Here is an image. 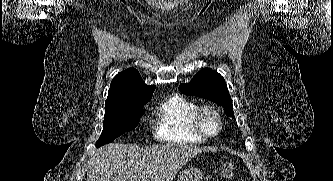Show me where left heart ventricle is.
I'll return each mask as SVG.
<instances>
[{
    "label": "left heart ventricle",
    "mask_w": 333,
    "mask_h": 181,
    "mask_svg": "<svg viewBox=\"0 0 333 181\" xmlns=\"http://www.w3.org/2000/svg\"><path fill=\"white\" fill-rule=\"evenodd\" d=\"M202 126L206 132L214 133L217 129L216 119L212 115L207 114L202 119Z\"/></svg>",
    "instance_id": "1"
}]
</instances>
